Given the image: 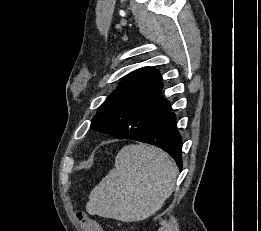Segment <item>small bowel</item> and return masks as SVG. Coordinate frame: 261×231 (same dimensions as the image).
Instances as JSON below:
<instances>
[{
  "instance_id": "obj_1",
  "label": "small bowel",
  "mask_w": 261,
  "mask_h": 231,
  "mask_svg": "<svg viewBox=\"0 0 261 231\" xmlns=\"http://www.w3.org/2000/svg\"><path fill=\"white\" fill-rule=\"evenodd\" d=\"M84 231H103V229L94 220H89L88 225L84 227Z\"/></svg>"
}]
</instances>
